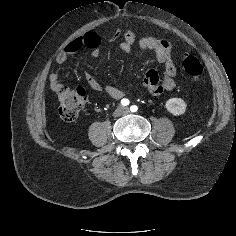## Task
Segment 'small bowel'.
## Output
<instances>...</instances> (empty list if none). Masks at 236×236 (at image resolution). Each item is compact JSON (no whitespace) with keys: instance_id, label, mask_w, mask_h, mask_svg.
<instances>
[{"instance_id":"obj_1","label":"small bowel","mask_w":236,"mask_h":236,"mask_svg":"<svg viewBox=\"0 0 236 236\" xmlns=\"http://www.w3.org/2000/svg\"><path fill=\"white\" fill-rule=\"evenodd\" d=\"M118 32L110 36L111 40L118 37ZM138 41V47L142 51H151L155 54L157 61L163 67L162 77L155 69H150L146 72L143 78V86L149 94L153 96H161L164 92L173 90L176 86L177 67L172 59L173 45L166 37H139L132 29H127L123 35V40L120 42V49L125 53H131L134 45ZM102 37L99 33L94 31L86 32L71 40L63 51L56 56V62L64 63L70 57L76 55L82 50H89L93 57H97L100 53V45ZM85 81L88 87L94 91H104L111 98L119 100L124 97V92L114 86H103L97 79L90 73L86 72ZM50 88L57 92L63 86L56 71L52 70L49 74Z\"/></svg>"}]
</instances>
